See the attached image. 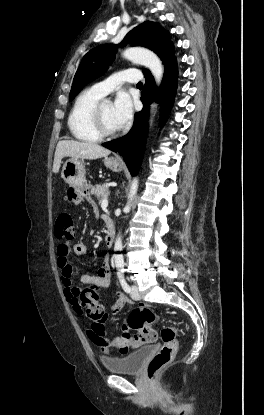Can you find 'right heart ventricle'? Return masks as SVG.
Listing matches in <instances>:
<instances>
[{
  "label": "right heart ventricle",
  "instance_id": "obj_1",
  "mask_svg": "<svg viewBox=\"0 0 264 415\" xmlns=\"http://www.w3.org/2000/svg\"><path fill=\"white\" fill-rule=\"evenodd\" d=\"M100 99L101 96L91 89L77 96L68 117V128L74 139L90 143L100 141L90 120L91 111Z\"/></svg>",
  "mask_w": 264,
  "mask_h": 415
}]
</instances>
